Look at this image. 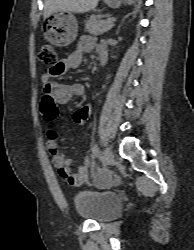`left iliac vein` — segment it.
I'll list each match as a JSON object with an SVG mask.
<instances>
[{"label":"left iliac vein","mask_w":194,"mask_h":250,"mask_svg":"<svg viewBox=\"0 0 194 250\" xmlns=\"http://www.w3.org/2000/svg\"><path fill=\"white\" fill-rule=\"evenodd\" d=\"M104 158H105V164L106 165L111 164L112 161L114 160L113 151L109 147H106L104 149Z\"/></svg>","instance_id":"4c4485c4"}]
</instances>
